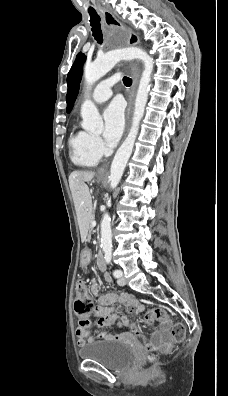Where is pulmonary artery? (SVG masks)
<instances>
[{"label":"pulmonary artery","mask_w":228,"mask_h":396,"mask_svg":"<svg viewBox=\"0 0 228 396\" xmlns=\"http://www.w3.org/2000/svg\"><path fill=\"white\" fill-rule=\"evenodd\" d=\"M116 81L117 77L113 76L98 83L92 92V100L96 103L108 100L113 95V85Z\"/></svg>","instance_id":"pulmonary-artery-1"}]
</instances>
